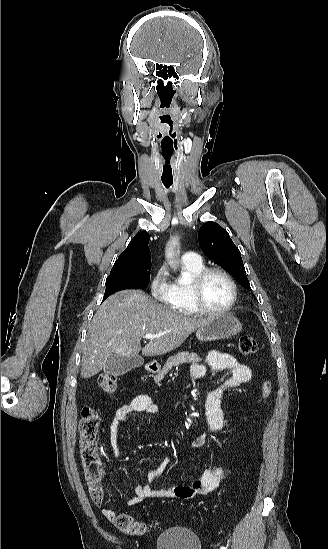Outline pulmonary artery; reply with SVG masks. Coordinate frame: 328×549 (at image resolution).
<instances>
[{
    "instance_id": "pulmonary-artery-1",
    "label": "pulmonary artery",
    "mask_w": 328,
    "mask_h": 549,
    "mask_svg": "<svg viewBox=\"0 0 328 549\" xmlns=\"http://www.w3.org/2000/svg\"><path fill=\"white\" fill-rule=\"evenodd\" d=\"M196 255H197V254L194 253V252H191V251H184V252L182 253L181 258H182V259H185V260H190V259H194V258L196 257Z\"/></svg>"
}]
</instances>
